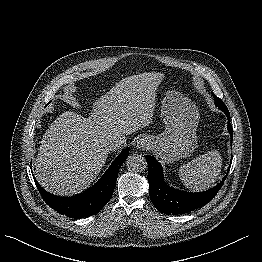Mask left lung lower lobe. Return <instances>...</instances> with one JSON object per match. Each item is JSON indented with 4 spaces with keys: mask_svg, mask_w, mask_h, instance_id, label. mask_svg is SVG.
Segmentation results:
<instances>
[{
    "mask_svg": "<svg viewBox=\"0 0 262 262\" xmlns=\"http://www.w3.org/2000/svg\"><path fill=\"white\" fill-rule=\"evenodd\" d=\"M220 109L228 118V131L232 140L233 129L230 124V113L227 108ZM146 159L148 163L150 198L156 209L164 214H185L206 205L215 197L227 177L226 175L219 184L207 191L198 193L184 192L165 184L162 166L154 156L147 155Z\"/></svg>",
    "mask_w": 262,
    "mask_h": 262,
    "instance_id": "left-lung-lower-lobe-1",
    "label": "left lung lower lobe"
}]
</instances>
